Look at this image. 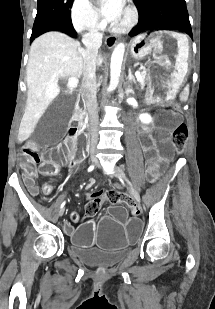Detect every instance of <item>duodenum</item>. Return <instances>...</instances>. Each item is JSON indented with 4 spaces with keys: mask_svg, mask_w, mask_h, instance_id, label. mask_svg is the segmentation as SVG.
<instances>
[{
    "mask_svg": "<svg viewBox=\"0 0 215 309\" xmlns=\"http://www.w3.org/2000/svg\"><path fill=\"white\" fill-rule=\"evenodd\" d=\"M80 133H81V128L79 126V123L78 121H75L71 126L70 134L73 136H76V135H80Z\"/></svg>",
    "mask_w": 215,
    "mask_h": 309,
    "instance_id": "1",
    "label": "duodenum"
}]
</instances>
